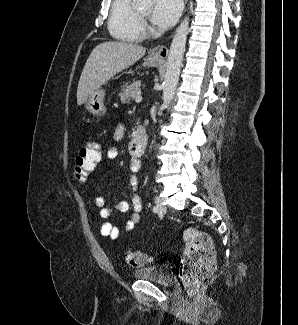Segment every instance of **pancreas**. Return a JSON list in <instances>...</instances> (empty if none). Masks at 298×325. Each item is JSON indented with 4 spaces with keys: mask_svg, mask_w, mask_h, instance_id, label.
I'll return each instance as SVG.
<instances>
[{
    "mask_svg": "<svg viewBox=\"0 0 298 325\" xmlns=\"http://www.w3.org/2000/svg\"><path fill=\"white\" fill-rule=\"evenodd\" d=\"M140 86L141 80H136V82H132V84H128V86H123L121 92H119L121 102H131L133 98H136Z\"/></svg>",
    "mask_w": 298,
    "mask_h": 325,
    "instance_id": "obj_1",
    "label": "pancreas"
}]
</instances>
